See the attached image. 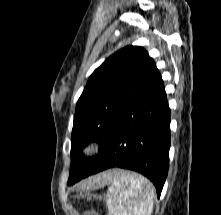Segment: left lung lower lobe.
Masks as SVG:
<instances>
[{"label": "left lung lower lobe", "mask_w": 221, "mask_h": 215, "mask_svg": "<svg viewBox=\"0 0 221 215\" xmlns=\"http://www.w3.org/2000/svg\"><path fill=\"white\" fill-rule=\"evenodd\" d=\"M169 148L170 109L155 65L117 116L104 149L83 178L114 167L134 170L153 182L159 198L169 169ZM77 181L69 180L68 185Z\"/></svg>", "instance_id": "0a47b994"}]
</instances>
